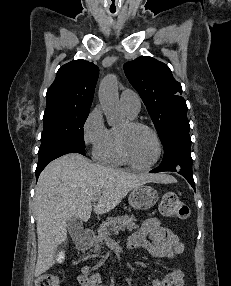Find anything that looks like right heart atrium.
Segmentation results:
<instances>
[{"label":"right heart atrium","mask_w":231,"mask_h":286,"mask_svg":"<svg viewBox=\"0 0 231 286\" xmlns=\"http://www.w3.org/2000/svg\"><path fill=\"white\" fill-rule=\"evenodd\" d=\"M108 133L105 126L102 110L99 106L93 108L86 117L82 126L84 144L95 153L104 142Z\"/></svg>","instance_id":"right-heart-atrium-1"}]
</instances>
